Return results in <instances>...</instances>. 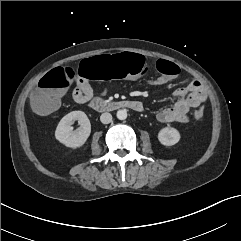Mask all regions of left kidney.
<instances>
[{"mask_svg": "<svg viewBox=\"0 0 241 241\" xmlns=\"http://www.w3.org/2000/svg\"><path fill=\"white\" fill-rule=\"evenodd\" d=\"M158 140L164 146H172L179 142L180 133L175 128L165 127L159 131Z\"/></svg>", "mask_w": 241, "mask_h": 241, "instance_id": "1", "label": "left kidney"}]
</instances>
